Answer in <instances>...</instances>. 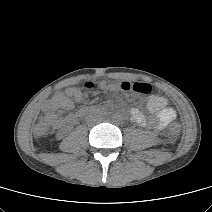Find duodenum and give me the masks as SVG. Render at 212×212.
Returning <instances> with one entry per match:
<instances>
[{
  "label": "duodenum",
  "instance_id": "1",
  "mask_svg": "<svg viewBox=\"0 0 212 212\" xmlns=\"http://www.w3.org/2000/svg\"><path fill=\"white\" fill-rule=\"evenodd\" d=\"M90 112V109L89 108H83L81 111H80V114L81 115H86Z\"/></svg>",
  "mask_w": 212,
  "mask_h": 212
}]
</instances>
